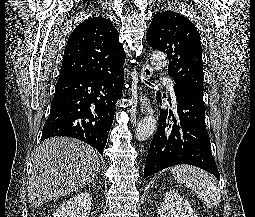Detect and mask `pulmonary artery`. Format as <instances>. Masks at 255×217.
I'll return each instance as SVG.
<instances>
[{
    "instance_id": "1",
    "label": "pulmonary artery",
    "mask_w": 255,
    "mask_h": 217,
    "mask_svg": "<svg viewBox=\"0 0 255 217\" xmlns=\"http://www.w3.org/2000/svg\"><path fill=\"white\" fill-rule=\"evenodd\" d=\"M164 83L167 85L171 96L173 98V102L176 103V96L174 92V82L170 78H164Z\"/></svg>"
}]
</instances>
